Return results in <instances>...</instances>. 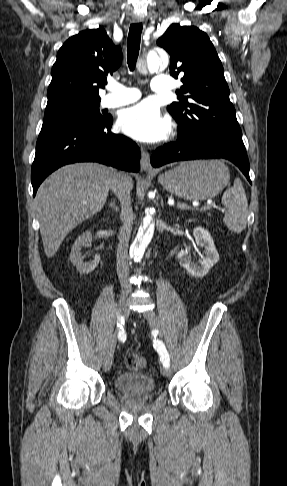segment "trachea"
I'll return each instance as SVG.
<instances>
[{"mask_svg": "<svg viewBox=\"0 0 287 486\" xmlns=\"http://www.w3.org/2000/svg\"><path fill=\"white\" fill-rule=\"evenodd\" d=\"M141 33L142 23H135L130 26L127 40V58L128 66L131 71L135 69L136 61L139 55Z\"/></svg>", "mask_w": 287, "mask_h": 486, "instance_id": "trachea-1", "label": "trachea"}]
</instances>
